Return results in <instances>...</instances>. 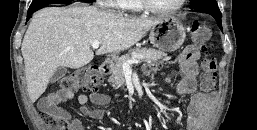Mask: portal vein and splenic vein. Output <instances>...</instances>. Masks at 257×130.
Masks as SVG:
<instances>
[{
	"label": "portal vein and splenic vein",
	"mask_w": 257,
	"mask_h": 130,
	"mask_svg": "<svg viewBox=\"0 0 257 130\" xmlns=\"http://www.w3.org/2000/svg\"><path fill=\"white\" fill-rule=\"evenodd\" d=\"M100 44H101L100 41H94V42L91 44V46H92L93 49H97V48H99ZM140 62H141V61H140L139 59H132V60H129V61H127V62H124V63H123V71H124V73H125V72H131V67H130V65H132V64H138V63H140Z\"/></svg>",
	"instance_id": "1"
}]
</instances>
